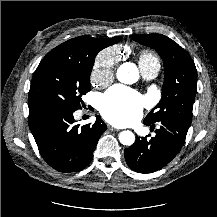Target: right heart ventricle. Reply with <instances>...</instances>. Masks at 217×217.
Returning <instances> with one entry per match:
<instances>
[{
  "instance_id": "obj_1",
  "label": "right heart ventricle",
  "mask_w": 217,
  "mask_h": 217,
  "mask_svg": "<svg viewBox=\"0 0 217 217\" xmlns=\"http://www.w3.org/2000/svg\"><path fill=\"white\" fill-rule=\"evenodd\" d=\"M138 62L140 67L144 65H149L151 63H159L157 57L151 51L148 50L140 52L138 56Z\"/></svg>"
}]
</instances>
